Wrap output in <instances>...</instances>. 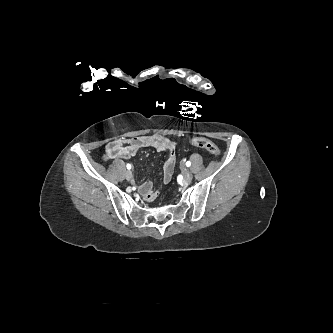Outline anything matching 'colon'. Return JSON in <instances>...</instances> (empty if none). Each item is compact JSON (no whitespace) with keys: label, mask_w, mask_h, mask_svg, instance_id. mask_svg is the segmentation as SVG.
Wrapping results in <instances>:
<instances>
[{"label":"colon","mask_w":333,"mask_h":333,"mask_svg":"<svg viewBox=\"0 0 333 333\" xmlns=\"http://www.w3.org/2000/svg\"><path fill=\"white\" fill-rule=\"evenodd\" d=\"M190 143L193 146H197L199 148H202L204 150H206L207 152H209L212 155H219L220 150L217 147V145H215L213 142L209 141L206 138H202V137H194L190 140Z\"/></svg>","instance_id":"5ec220e1"}]
</instances>
